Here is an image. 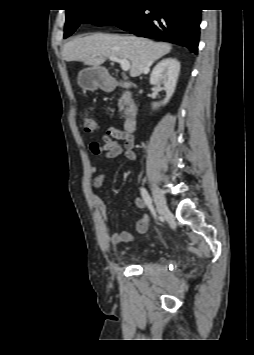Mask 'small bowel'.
I'll return each instance as SVG.
<instances>
[{"instance_id": "1", "label": "small bowel", "mask_w": 254, "mask_h": 355, "mask_svg": "<svg viewBox=\"0 0 254 355\" xmlns=\"http://www.w3.org/2000/svg\"><path fill=\"white\" fill-rule=\"evenodd\" d=\"M134 147V137L126 131H123L117 127H110L102 137V143L93 141L89 145V149L92 154L95 156L114 159L121 155L130 161L136 159V154L133 150ZM93 173L98 171V166L94 165L91 168ZM105 182V175L103 173L97 174L93 179V186L96 189H99L103 186ZM93 202L100 213L104 218H108L107 207L102 200V198L96 194L93 195ZM135 205L138 208H144L146 203L141 197L135 199ZM149 227V217L144 214L136 223V230L138 233H145ZM133 239L132 233L129 231H120L112 233L110 240L114 244L130 242Z\"/></svg>"}]
</instances>
